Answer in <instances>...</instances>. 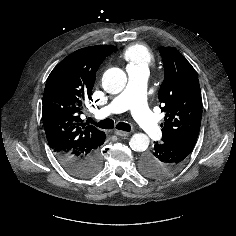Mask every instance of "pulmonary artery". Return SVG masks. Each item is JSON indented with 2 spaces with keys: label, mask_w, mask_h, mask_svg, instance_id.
<instances>
[{
  "label": "pulmonary artery",
  "mask_w": 236,
  "mask_h": 236,
  "mask_svg": "<svg viewBox=\"0 0 236 236\" xmlns=\"http://www.w3.org/2000/svg\"><path fill=\"white\" fill-rule=\"evenodd\" d=\"M128 83L126 88L108 105L101 108L102 117L122 113L130 110L134 119L142 126L145 132L153 137L160 138L162 133L156 117L149 110L145 98L146 83L149 70L145 67H127Z\"/></svg>",
  "instance_id": "obj_1"
}]
</instances>
